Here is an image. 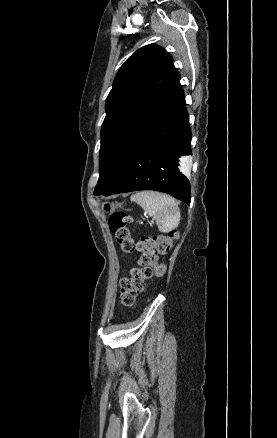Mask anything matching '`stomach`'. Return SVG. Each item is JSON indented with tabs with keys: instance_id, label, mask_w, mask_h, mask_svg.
Wrapping results in <instances>:
<instances>
[{
	"instance_id": "0dacf381",
	"label": "stomach",
	"mask_w": 277,
	"mask_h": 438,
	"mask_svg": "<svg viewBox=\"0 0 277 438\" xmlns=\"http://www.w3.org/2000/svg\"><path fill=\"white\" fill-rule=\"evenodd\" d=\"M102 207L105 208V210H109V212L115 211L117 208L122 207V203H111L108 205L107 203H104Z\"/></svg>"
}]
</instances>
